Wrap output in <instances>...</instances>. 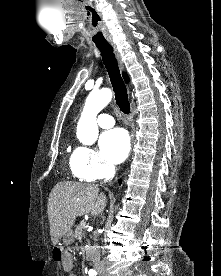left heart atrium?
<instances>
[{
	"label": "left heart atrium",
	"instance_id": "left-heart-atrium-1",
	"mask_svg": "<svg viewBox=\"0 0 221 276\" xmlns=\"http://www.w3.org/2000/svg\"><path fill=\"white\" fill-rule=\"evenodd\" d=\"M99 142L103 156L111 163H121L128 156L130 141L123 129L117 128L103 133Z\"/></svg>",
	"mask_w": 221,
	"mask_h": 276
}]
</instances>
